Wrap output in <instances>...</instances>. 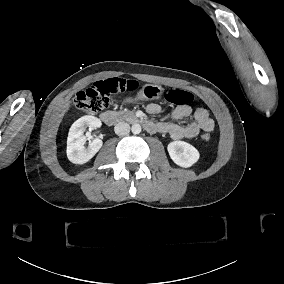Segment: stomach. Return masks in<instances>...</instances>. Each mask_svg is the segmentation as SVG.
<instances>
[{
    "label": "stomach",
    "instance_id": "0dacf381",
    "mask_svg": "<svg viewBox=\"0 0 284 284\" xmlns=\"http://www.w3.org/2000/svg\"><path fill=\"white\" fill-rule=\"evenodd\" d=\"M163 93V88L160 85L146 84L138 92L135 98L128 97L125 103H135L138 100H154L159 99Z\"/></svg>",
    "mask_w": 284,
    "mask_h": 284
}]
</instances>
